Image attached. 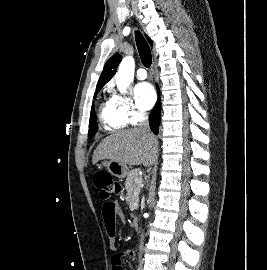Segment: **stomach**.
<instances>
[{
	"label": "stomach",
	"instance_id": "0dacf381",
	"mask_svg": "<svg viewBox=\"0 0 267 270\" xmlns=\"http://www.w3.org/2000/svg\"><path fill=\"white\" fill-rule=\"evenodd\" d=\"M105 167L113 176L122 179L128 174V167L120 162L113 160H105L100 165Z\"/></svg>",
	"mask_w": 267,
	"mask_h": 270
}]
</instances>
